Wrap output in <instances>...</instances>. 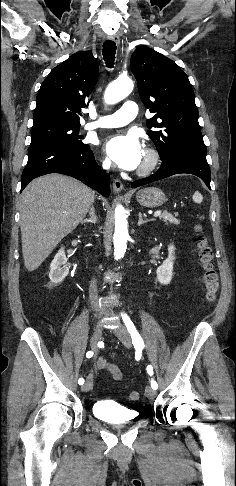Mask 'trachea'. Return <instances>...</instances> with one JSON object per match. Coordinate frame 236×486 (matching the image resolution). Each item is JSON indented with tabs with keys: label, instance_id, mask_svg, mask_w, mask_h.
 I'll return each instance as SVG.
<instances>
[{
	"label": "trachea",
	"instance_id": "trachea-1",
	"mask_svg": "<svg viewBox=\"0 0 236 486\" xmlns=\"http://www.w3.org/2000/svg\"><path fill=\"white\" fill-rule=\"evenodd\" d=\"M116 49L117 47L114 41L107 40L103 44V58L106 63V66L109 68H113Z\"/></svg>",
	"mask_w": 236,
	"mask_h": 486
}]
</instances>
